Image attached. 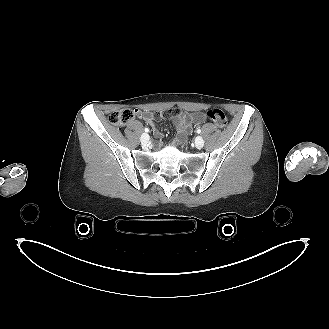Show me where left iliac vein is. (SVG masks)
I'll return each mask as SVG.
<instances>
[{
  "mask_svg": "<svg viewBox=\"0 0 329 329\" xmlns=\"http://www.w3.org/2000/svg\"><path fill=\"white\" fill-rule=\"evenodd\" d=\"M195 146L198 149H201L204 146V140H203L202 137H200V136L196 137V139H195Z\"/></svg>",
  "mask_w": 329,
  "mask_h": 329,
  "instance_id": "1",
  "label": "left iliac vein"
}]
</instances>
